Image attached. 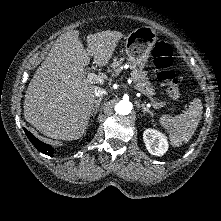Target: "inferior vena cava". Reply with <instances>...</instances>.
Returning a JSON list of instances; mask_svg holds the SVG:
<instances>
[{"label": "inferior vena cava", "mask_w": 221, "mask_h": 221, "mask_svg": "<svg viewBox=\"0 0 221 221\" xmlns=\"http://www.w3.org/2000/svg\"><path fill=\"white\" fill-rule=\"evenodd\" d=\"M94 93H95V96L99 97V96L105 95L107 92L100 87H96Z\"/></svg>", "instance_id": "602c4592"}]
</instances>
